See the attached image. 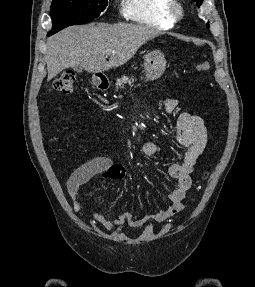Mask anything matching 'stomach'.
Segmentation results:
<instances>
[{
	"instance_id": "1",
	"label": "stomach",
	"mask_w": 255,
	"mask_h": 287,
	"mask_svg": "<svg viewBox=\"0 0 255 287\" xmlns=\"http://www.w3.org/2000/svg\"><path fill=\"white\" fill-rule=\"evenodd\" d=\"M145 80H157L166 70V60L161 50H153L144 58Z\"/></svg>"
}]
</instances>
